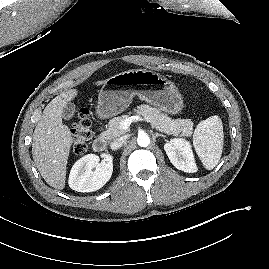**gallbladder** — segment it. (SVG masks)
<instances>
[{
	"instance_id": "bac80fb5",
	"label": "gallbladder",
	"mask_w": 269,
	"mask_h": 269,
	"mask_svg": "<svg viewBox=\"0 0 269 269\" xmlns=\"http://www.w3.org/2000/svg\"><path fill=\"white\" fill-rule=\"evenodd\" d=\"M75 113V105L73 103H68L63 109L62 116L65 120H69L74 117Z\"/></svg>"
}]
</instances>
